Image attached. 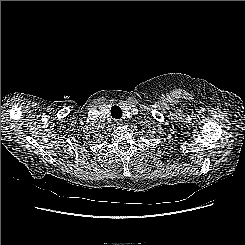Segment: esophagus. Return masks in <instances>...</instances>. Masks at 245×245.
I'll return each instance as SVG.
<instances>
[{"label":"esophagus","instance_id":"34e87169","mask_svg":"<svg viewBox=\"0 0 245 245\" xmlns=\"http://www.w3.org/2000/svg\"><path fill=\"white\" fill-rule=\"evenodd\" d=\"M122 120H120V119H116L115 121H114V124L116 125V126H121L122 125Z\"/></svg>","mask_w":245,"mask_h":245}]
</instances>
